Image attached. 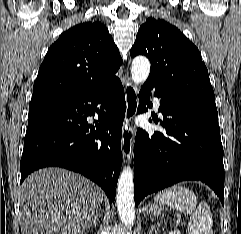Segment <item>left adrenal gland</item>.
Listing matches in <instances>:
<instances>
[{
  "label": "left adrenal gland",
  "mask_w": 241,
  "mask_h": 234,
  "mask_svg": "<svg viewBox=\"0 0 241 234\" xmlns=\"http://www.w3.org/2000/svg\"><path fill=\"white\" fill-rule=\"evenodd\" d=\"M153 233L157 234V230L155 229V225L154 224L151 225V229H150L149 234H153Z\"/></svg>",
  "instance_id": "a2214340"
}]
</instances>
